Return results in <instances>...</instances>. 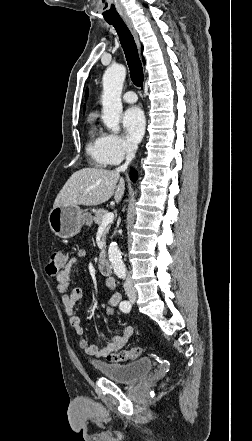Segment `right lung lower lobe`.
Wrapping results in <instances>:
<instances>
[{"instance_id": "right-lung-lower-lobe-1", "label": "right lung lower lobe", "mask_w": 252, "mask_h": 441, "mask_svg": "<svg viewBox=\"0 0 252 441\" xmlns=\"http://www.w3.org/2000/svg\"><path fill=\"white\" fill-rule=\"evenodd\" d=\"M130 178L132 179L133 182H135V180L137 179V172L136 171H132Z\"/></svg>"}]
</instances>
